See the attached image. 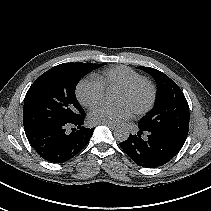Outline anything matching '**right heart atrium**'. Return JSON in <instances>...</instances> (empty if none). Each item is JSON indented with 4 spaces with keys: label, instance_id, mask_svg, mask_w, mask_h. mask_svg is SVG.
<instances>
[{
    "label": "right heart atrium",
    "instance_id": "right-heart-atrium-1",
    "mask_svg": "<svg viewBox=\"0 0 211 211\" xmlns=\"http://www.w3.org/2000/svg\"><path fill=\"white\" fill-rule=\"evenodd\" d=\"M104 92L105 87L95 76L81 80L76 88V96L79 102L87 108L98 105L103 100Z\"/></svg>",
    "mask_w": 211,
    "mask_h": 211
}]
</instances>
